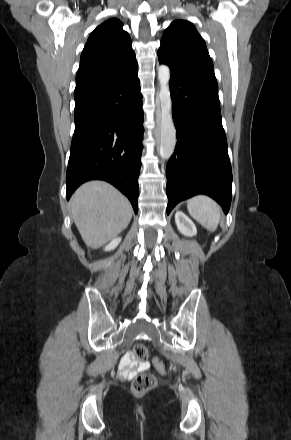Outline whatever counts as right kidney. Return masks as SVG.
Listing matches in <instances>:
<instances>
[{
  "instance_id": "1",
  "label": "right kidney",
  "mask_w": 291,
  "mask_h": 440,
  "mask_svg": "<svg viewBox=\"0 0 291 440\" xmlns=\"http://www.w3.org/2000/svg\"><path fill=\"white\" fill-rule=\"evenodd\" d=\"M120 242H121L120 237L114 238L108 245H106L105 251H111V250L115 249L119 245Z\"/></svg>"
}]
</instances>
